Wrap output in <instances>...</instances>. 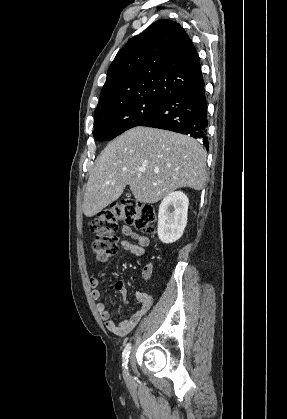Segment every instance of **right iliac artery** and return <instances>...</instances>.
Here are the masks:
<instances>
[{
  "label": "right iliac artery",
  "instance_id": "1",
  "mask_svg": "<svg viewBox=\"0 0 287 419\" xmlns=\"http://www.w3.org/2000/svg\"><path fill=\"white\" fill-rule=\"evenodd\" d=\"M130 350H131V344L128 343L125 348L124 351L122 353V357H123V364L122 366L124 367V369H128L127 368V363H128V358H129V354H130Z\"/></svg>",
  "mask_w": 287,
  "mask_h": 419
}]
</instances>
